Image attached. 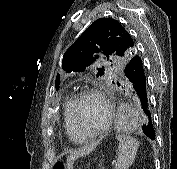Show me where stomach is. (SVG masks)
I'll return each mask as SVG.
<instances>
[{"mask_svg":"<svg viewBox=\"0 0 177 169\" xmlns=\"http://www.w3.org/2000/svg\"><path fill=\"white\" fill-rule=\"evenodd\" d=\"M52 169H69V167L67 162L63 158L59 157L52 164Z\"/></svg>","mask_w":177,"mask_h":169,"instance_id":"stomach-1","label":"stomach"}]
</instances>
